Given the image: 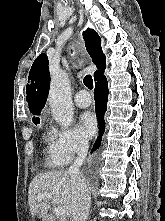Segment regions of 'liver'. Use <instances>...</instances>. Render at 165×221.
Wrapping results in <instances>:
<instances>
[{
	"label": "liver",
	"mask_w": 165,
	"mask_h": 221,
	"mask_svg": "<svg viewBox=\"0 0 165 221\" xmlns=\"http://www.w3.org/2000/svg\"><path fill=\"white\" fill-rule=\"evenodd\" d=\"M73 192V182L67 173L53 171L35 176L28 190V204L32 217L39 216V218L46 219L50 202L63 207L65 215L71 217ZM43 193H50L52 198L44 197L38 200V196Z\"/></svg>",
	"instance_id": "1"
}]
</instances>
